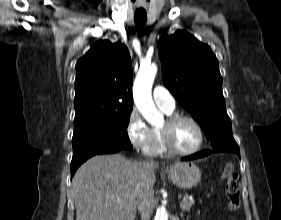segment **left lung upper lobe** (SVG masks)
<instances>
[{
  "mask_svg": "<svg viewBox=\"0 0 281 220\" xmlns=\"http://www.w3.org/2000/svg\"><path fill=\"white\" fill-rule=\"evenodd\" d=\"M164 85L201 125L212 150L238 148L225 108L222 77L211 48L185 31L163 33L158 43Z\"/></svg>",
  "mask_w": 281,
  "mask_h": 220,
  "instance_id": "obj_1",
  "label": "left lung upper lobe"
}]
</instances>
